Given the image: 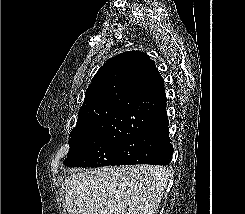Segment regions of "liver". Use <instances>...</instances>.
I'll return each mask as SVG.
<instances>
[{"label": "liver", "mask_w": 245, "mask_h": 214, "mask_svg": "<svg viewBox=\"0 0 245 214\" xmlns=\"http://www.w3.org/2000/svg\"><path fill=\"white\" fill-rule=\"evenodd\" d=\"M169 180L160 166L78 170L65 179L68 214H155Z\"/></svg>", "instance_id": "6515ba94"}]
</instances>
